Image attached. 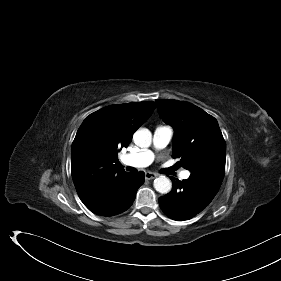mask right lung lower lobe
<instances>
[{"label": "right lung lower lobe", "mask_w": 281, "mask_h": 281, "mask_svg": "<svg viewBox=\"0 0 281 281\" xmlns=\"http://www.w3.org/2000/svg\"><path fill=\"white\" fill-rule=\"evenodd\" d=\"M144 181V172L125 173L82 202L89 210L102 216L120 214L132 205L136 192Z\"/></svg>", "instance_id": "1"}]
</instances>
